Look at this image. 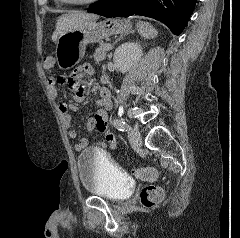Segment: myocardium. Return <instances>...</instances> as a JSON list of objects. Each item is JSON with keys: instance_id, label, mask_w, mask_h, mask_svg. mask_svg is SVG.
I'll return each instance as SVG.
<instances>
[{"instance_id": "f54148a6", "label": "myocardium", "mask_w": 240, "mask_h": 238, "mask_svg": "<svg viewBox=\"0 0 240 238\" xmlns=\"http://www.w3.org/2000/svg\"><path fill=\"white\" fill-rule=\"evenodd\" d=\"M58 1L72 5H90L97 3L100 0H58Z\"/></svg>"}]
</instances>
